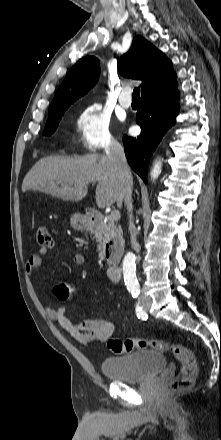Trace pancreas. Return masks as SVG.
Returning <instances> with one entry per match:
<instances>
[{
    "mask_svg": "<svg viewBox=\"0 0 221 440\" xmlns=\"http://www.w3.org/2000/svg\"><path fill=\"white\" fill-rule=\"evenodd\" d=\"M96 241L99 242V250L102 253V250L106 243L109 241H113L114 243H118L117 247V259L119 260L122 256L123 252V238L120 230L115 225L113 221L109 219L106 220L105 224H101L95 231Z\"/></svg>",
    "mask_w": 221,
    "mask_h": 440,
    "instance_id": "cf45deb5",
    "label": "pancreas"
}]
</instances>
